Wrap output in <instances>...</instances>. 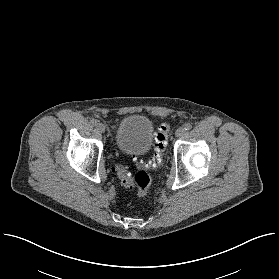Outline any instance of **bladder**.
I'll list each match as a JSON object with an SVG mask.
<instances>
[{
    "label": "bladder",
    "instance_id": "31cf9c89",
    "mask_svg": "<svg viewBox=\"0 0 279 279\" xmlns=\"http://www.w3.org/2000/svg\"><path fill=\"white\" fill-rule=\"evenodd\" d=\"M114 129L116 146L127 154L146 152L153 145V127L146 117L117 119Z\"/></svg>",
    "mask_w": 279,
    "mask_h": 279
}]
</instances>
